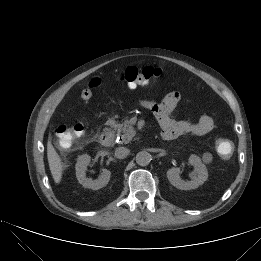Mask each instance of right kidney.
Returning a JSON list of instances; mask_svg holds the SVG:
<instances>
[{
    "label": "right kidney",
    "mask_w": 261,
    "mask_h": 261,
    "mask_svg": "<svg viewBox=\"0 0 261 261\" xmlns=\"http://www.w3.org/2000/svg\"><path fill=\"white\" fill-rule=\"evenodd\" d=\"M91 161V157L87 154L81 155L77 159V163L75 166L76 169V177L78 182L85 188H90L93 190H98L105 187L111 176V172L107 169H103L101 176L96 179L92 180L86 177V169Z\"/></svg>",
    "instance_id": "ca27d5eb"
}]
</instances>
